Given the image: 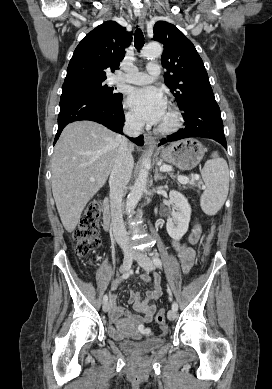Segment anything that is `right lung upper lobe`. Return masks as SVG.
<instances>
[{
    "mask_svg": "<svg viewBox=\"0 0 272 389\" xmlns=\"http://www.w3.org/2000/svg\"><path fill=\"white\" fill-rule=\"evenodd\" d=\"M132 32L115 21H107L89 32L76 47L63 85L105 80L106 69H118Z\"/></svg>",
    "mask_w": 272,
    "mask_h": 389,
    "instance_id": "cb5924a9",
    "label": "right lung upper lobe"
}]
</instances>
